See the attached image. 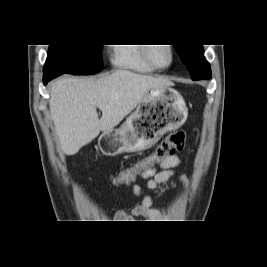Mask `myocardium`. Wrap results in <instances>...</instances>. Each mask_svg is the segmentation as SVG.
<instances>
[{
    "label": "myocardium",
    "mask_w": 267,
    "mask_h": 267,
    "mask_svg": "<svg viewBox=\"0 0 267 267\" xmlns=\"http://www.w3.org/2000/svg\"><path fill=\"white\" fill-rule=\"evenodd\" d=\"M157 45H162V47H165L170 55L169 58V62L166 65H159L154 57H153V51L155 48L159 47ZM145 58L147 60V62L154 67L157 70H165L167 68H169L173 62H174V51H173V47L169 44H150V46H145Z\"/></svg>",
    "instance_id": "myocardium-1"
}]
</instances>
